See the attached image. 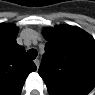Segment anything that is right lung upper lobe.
<instances>
[{
    "label": "right lung upper lobe",
    "mask_w": 95,
    "mask_h": 95,
    "mask_svg": "<svg viewBox=\"0 0 95 95\" xmlns=\"http://www.w3.org/2000/svg\"><path fill=\"white\" fill-rule=\"evenodd\" d=\"M17 28L0 24V93L19 95L29 73L36 70L35 64L26 58L24 47L16 42Z\"/></svg>",
    "instance_id": "1"
}]
</instances>
